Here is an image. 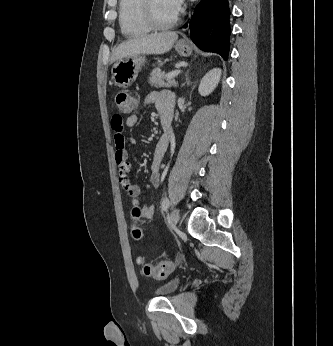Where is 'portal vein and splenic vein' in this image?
I'll return each instance as SVG.
<instances>
[{
  "mask_svg": "<svg viewBox=\"0 0 333 346\" xmlns=\"http://www.w3.org/2000/svg\"><path fill=\"white\" fill-rule=\"evenodd\" d=\"M180 70L173 71L166 76V80H171L180 74Z\"/></svg>",
  "mask_w": 333,
  "mask_h": 346,
  "instance_id": "obj_1",
  "label": "portal vein and splenic vein"
}]
</instances>
